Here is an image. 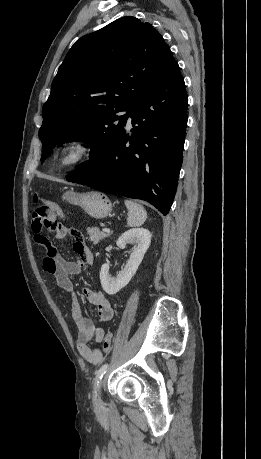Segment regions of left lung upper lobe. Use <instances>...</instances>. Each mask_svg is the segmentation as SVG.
Here are the masks:
<instances>
[{
    "label": "left lung upper lobe",
    "instance_id": "left-lung-upper-lobe-1",
    "mask_svg": "<svg viewBox=\"0 0 261 459\" xmlns=\"http://www.w3.org/2000/svg\"><path fill=\"white\" fill-rule=\"evenodd\" d=\"M169 46L149 23L122 17L83 36L70 49L43 105L39 130L43 163L58 143H90V170L109 154L133 107L175 63ZM127 111L126 115L118 113Z\"/></svg>",
    "mask_w": 261,
    "mask_h": 459
}]
</instances>
